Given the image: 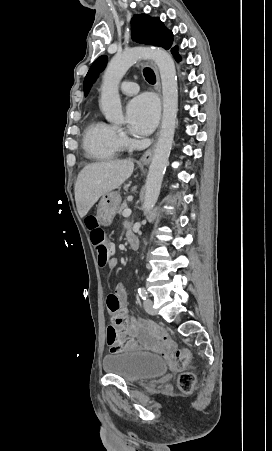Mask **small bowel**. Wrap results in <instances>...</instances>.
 Returning a JSON list of instances; mask_svg holds the SVG:
<instances>
[{
  "instance_id": "small-bowel-1",
  "label": "small bowel",
  "mask_w": 272,
  "mask_h": 451,
  "mask_svg": "<svg viewBox=\"0 0 272 451\" xmlns=\"http://www.w3.org/2000/svg\"><path fill=\"white\" fill-rule=\"evenodd\" d=\"M130 235L133 234L128 232L127 237L129 238ZM117 264L118 260L111 258L107 266L113 269ZM106 304L112 318L118 314L124 315L126 318L128 317L127 292L123 284L117 285L114 291L107 296ZM127 321V327L119 333V337H122V339L128 338L133 341L137 340L143 347L161 352V348L165 343L164 337L168 336L163 329L150 322H141L135 317L127 318Z\"/></svg>"
}]
</instances>
